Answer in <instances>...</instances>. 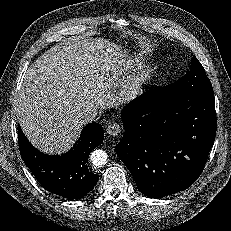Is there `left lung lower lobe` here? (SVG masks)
<instances>
[{
	"instance_id": "left-lung-lower-lobe-1",
	"label": "left lung lower lobe",
	"mask_w": 231,
	"mask_h": 231,
	"mask_svg": "<svg viewBox=\"0 0 231 231\" xmlns=\"http://www.w3.org/2000/svg\"><path fill=\"white\" fill-rule=\"evenodd\" d=\"M145 91L123 110L125 134L116 153L138 189L159 198L187 189L200 176L213 147L214 92L157 98Z\"/></svg>"
}]
</instances>
